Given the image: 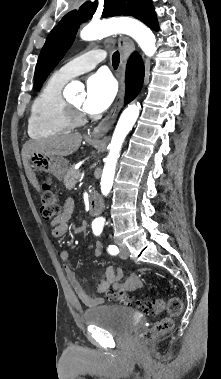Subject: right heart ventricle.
I'll return each mask as SVG.
<instances>
[{"label":"right heart ventricle","mask_w":221,"mask_h":379,"mask_svg":"<svg viewBox=\"0 0 221 379\" xmlns=\"http://www.w3.org/2000/svg\"><path fill=\"white\" fill-rule=\"evenodd\" d=\"M68 80L53 74L42 86L32 104L27 131L31 138L42 139L67 132L72 126L62 90Z\"/></svg>","instance_id":"e07e8e85"}]
</instances>
